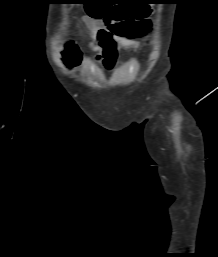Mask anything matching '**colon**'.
I'll return each instance as SVG.
<instances>
[{
	"mask_svg": "<svg viewBox=\"0 0 218 257\" xmlns=\"http://www.w3.org/2000/svg\"><path fill=\"white\" fill-rule=\"evenodd\" d=\"M81 10H89L91 17L103 19L112 32L128 38L145 35L152 24L151 5H81ZM65 54L73 63L81 59L80 50L74 43L67 45Z\"/></svg>",
	"mask_w": 218,
	"mask_h": 257,
	"instance_id": "5ec220e1",
	"label": "colon"
}]
</instances>
